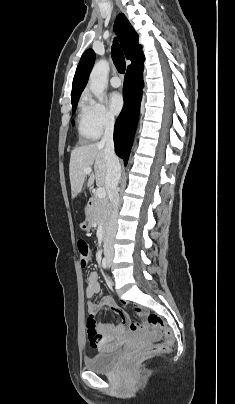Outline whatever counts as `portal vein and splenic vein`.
I'll list each match as a JSON object with an SVG mask.
<instances>
[{
	"label": "portal vein and splenic vein",
	"instance_id": "obj_1",
	"mask_svg": "<svg viewBox=\"0 0 235 404\" xmlns=\"http://www.w3.org/2000/svg\"><path fill=\"white\" fill-rule=\"evenodd\" d=\"M84 172H85V174H90V173L92 172V169H91V168H86V169L84 170ZM96 196H97L98 198H104V197L106 196V191H105V189L102 188V187H99V188L97 189V191H96Z\"/></svg>",
	"mask_w": 235,
	"mask_h": 404
}]
</instances>
